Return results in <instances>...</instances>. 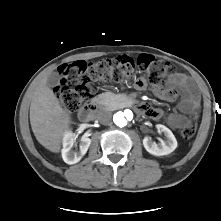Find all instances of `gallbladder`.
Here are the masks:
<instances>
[{"label": "gallbladder", "instance_id": "obj_1", "mask_svg": "<svg viewBox=\"0 0 221 221\" xmlns=\"http://www.w3.org/2000/svg\"><path fill=\"white\" fill-rule=\"evenodd\" d=\"M60 82V75L57 72H52L47 78V84L51 87L58 85Z\"/></svg>", "mask_w": 221, "mask_h": 221}]
</instances>
